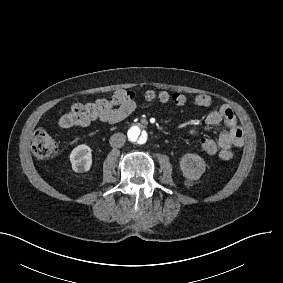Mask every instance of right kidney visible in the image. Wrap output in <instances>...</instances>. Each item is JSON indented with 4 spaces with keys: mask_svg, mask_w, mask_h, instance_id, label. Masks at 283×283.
<instances>
[{
    "mask_svg": "<svg viewBox=\"0 0 283 283\" xmlns=\"http://www.w3.org/2000/svg\"><path fill=\"white\" fill-rule=\"evenodd\" d=\"M70 161L75 172H85L91 166V149L87 145L77 146L70 154Z\"/></svg>",
    "mask_w": 283,
    "mask_h": 283,
    "instance_id": "obj_1",
    "label": "right kidney"
}]
</instances>
